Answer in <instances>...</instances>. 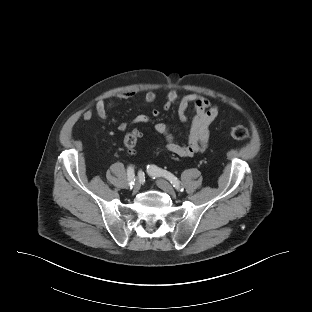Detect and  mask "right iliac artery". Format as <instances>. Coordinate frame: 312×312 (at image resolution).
I'll return each mask as SVG.
<instances>
[{
	"instance_id": "obj_1",
	"label": "right iliac artery",
	"mask_w": 312,
	"mask_h": 312,
	"mask_svg": "<svg viewBox=\"0 0 312 312\" xmlns=\"http://www.w3.org/2000/svg\"><path fill=\"white\" fill-rule=\"evenodd\" d=\"M140 174L143 175L144 173L141 172ZM127 177H128L129 185L132 188V185L134 184V181H135V173H134L133 167L131 166H129L127 169Z\"/></svg>"
}]
</instances>
